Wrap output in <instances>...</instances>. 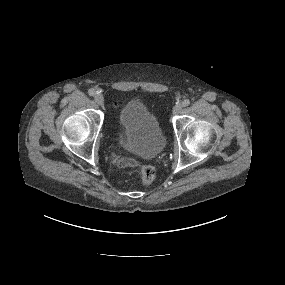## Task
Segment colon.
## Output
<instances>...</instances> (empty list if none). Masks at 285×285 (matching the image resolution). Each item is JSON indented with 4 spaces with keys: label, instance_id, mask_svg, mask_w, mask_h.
<instances>
[{
    "label": "colon",
    "instance_id": "colon-1",
    "mask_svg": "<svg viewBox=\"0 0 285 285\" xmlns=\"http://www.w3.org/2000/svg\"><path fill=\"white\" fill-rule=\"evenodd\" d=\"M127 164L129 166L135 165L134 161L128 160ZM156 176L155 168L151 165H145L141 168V179L144 184L151 183Z\"/></svg>",
    "mask_w": 285,
    "mask_h": 285
}]
</instances>
